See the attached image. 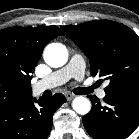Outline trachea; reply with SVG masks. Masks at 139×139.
I'll list each match as a JSON object with an SVG mask.
<instances>
[{"instance_id":"1","label":"trachea","mask_w":139,"mask_h":139,"mask_svg":"<svg viewBox=\"0 0 139 139\" xmlns=\"http://www.w3.org/2000/svg\"><path fill=\"white\" fill-rule=\"evenodd\" d=\"M94 88H95V86L88 87V88H81V87H79V88L74 89V92H75L76 94H88V93H90Z\"/></svg>"}]
</instances>
